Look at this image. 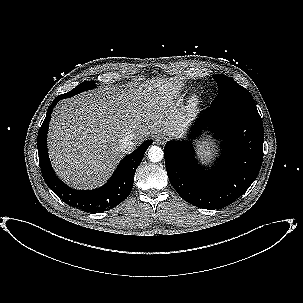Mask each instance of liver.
Returning a JSON list of instances; mask_svg holds the SVG:
<instances>
[{"label": "liver", "instance_id": "6515ba94", "mask_svg": "<svg viewBox=\"0 0 303 303\" xmlns=\"http://www.w3.org/2000/svg\"><path fill=\"white\" fill-rule=\"evenodd\" d=\"M178 79L152 78L139 86L106 85L59 103L48 133L52 165L63 181L90 189L103 184L124 154L121 140L135 147L149 135L180 137L194 112L182 105Z\"/></svg>", "mask_w": 303, "mask_h": 303}]
</instances>
